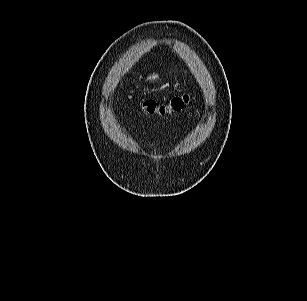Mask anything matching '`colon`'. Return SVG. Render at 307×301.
<instances>
[{"label": "colon", "instance_id": "obj_1", "mask_svg": "<svg viewBox=\"0 0 307 301\" xmlns=\"http://www.w3.org/2000/svg\"><path fill=\"white\" fill-rule=\"evenodd\" d=\"M189 103L187 95L175 96L166 102H157L155 100H144L141 108L151 115H166L181 112Z\"/></svg>", "mask_w": 307, "mask_h": 301}]
</instances>
